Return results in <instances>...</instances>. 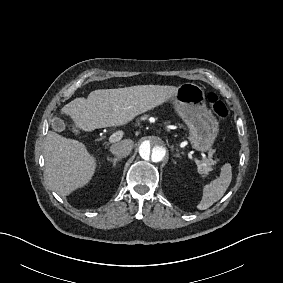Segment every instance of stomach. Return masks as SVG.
Here are the masks:
<instances>
[{
  "mask_svg": "<svg viewBox=\"0 0 283 283\" xmlns=\"http://www.w3.org/2000/svg\"><path fill=\"white\" fill-rule=\"evenodd\" d=\"M176 111L189 128L187 137L198 152L212 149L219 132V121L208 107L204 90L193 83H185L173 99Z\"/></svg>",
  "mask_w": 283,
  "mask_h": 283,
  "instance_id": "1",
  "label": "stomach"
}]
</instances>
